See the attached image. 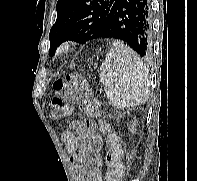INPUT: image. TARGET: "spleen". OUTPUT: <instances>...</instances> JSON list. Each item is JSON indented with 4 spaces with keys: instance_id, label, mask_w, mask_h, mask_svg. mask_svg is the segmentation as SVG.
Segmentation results:
<instances>
[{
    "instance_id": "obj_1",
    "label": "spleen",
    "mask_w": 197,
    "mask_h": 181,
    "mask_svg": "<svg viewBox=\"0 0 197 181\" xmlns=\"http://www.w3.org/2000/svg\"><path fill=\"white\" fill-rule=\"evenodd\" d=\"M100 82L108 102L115 108L136 106L148 100L149 70L121 41H114L100 67Z\"/></svg>"
}]
</instances>
